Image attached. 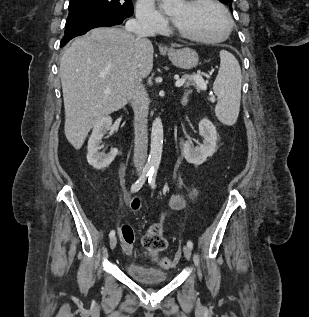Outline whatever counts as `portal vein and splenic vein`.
Here are the masks:
<instances>
[{"label":"portal vein and splenic vein","instance_id":"portal-vein-and-splenic-vein-1","mask_svg":"<svg viewBox=\"0 0 309 317\" xmlns=\"http://www.w3.org/2000/svg\"><path fill=\"white\" fill-rule=\"evenodd\" d=\"M193 79L194 81L200 86V88L202 90H205L207 85H206V82L204 81V79L201 77V75H194L193 76ZM185 79H178L176 82H175V86L176 87H181L184 83H185ZM105 93H110V90L109 89H106L105 90Z\"/></svg>","mask_w":309,"mask_h":317}]
</instances>
